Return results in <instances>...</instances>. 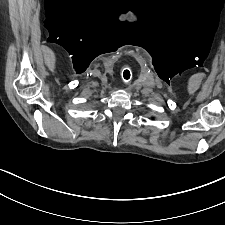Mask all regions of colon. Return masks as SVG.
I'll list each match as a JSON object with an SVG mask.
<instances>
[{
  "instance_id": "1",
  "label": "colon",
  "mask_w": 225,
  "mask_h": 225,
  "mask_svg": "<svg viewBox=\"0 0 225 225\" xmlns=\"http://www.w3.org/2000/svg\"><path fill=\"white\" fill-rule=\"evenodd\" d=\"M125 70H128L125 73L127 74V77L130 78V70H129V68H126Z\"/></svg>"
}]
</instances>
